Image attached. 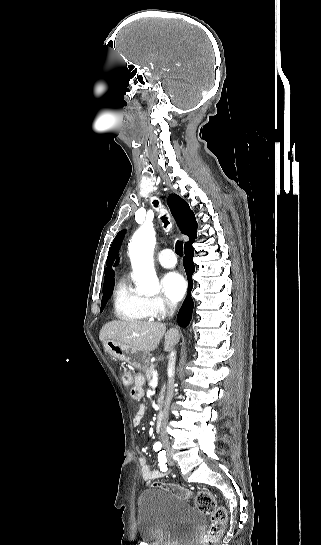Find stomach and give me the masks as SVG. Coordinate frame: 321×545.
Masks as SVG:
<instances>
[{"instance_id":"obj_1","label":"stomach","mask_w":321,"mask_h":545,"mask_svg":"<svg viewBox=\"0 0 321 545\" xmlns=\"http://www.w3.org/2000/svg\"><path fill=\"white\" fill-rule=\"evenodd\" d=\"M103 349L109 355H112L114 359L118 361H124V363H129L135 369L139 371H145L150 365V353L149 351H138L134 347H129V345H123V343H117V341H103Z\"/></svg>"}]
</instances>
